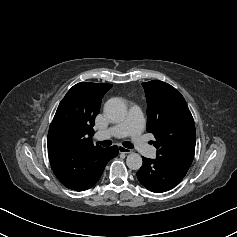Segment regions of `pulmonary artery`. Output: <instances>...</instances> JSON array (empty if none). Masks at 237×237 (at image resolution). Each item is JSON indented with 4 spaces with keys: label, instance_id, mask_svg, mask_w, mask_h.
<instances>
[{
    "label": "pulmonary artery",
    "instance_id": "e3ab8cb5",
    "mask_svg": "<svg viewBox=\"0 0 237 237\" xmlns=\"http://www.w3.org/2000/svg\"><path fill=\"white\" fill-rule=\"evenodd\" d=\"M143 128V114L139 108L133 107L123 122L109 129L97 132L96 137L98 139H107L130 136L138 152L143 156L152 158L156 154V148L143 140L141 136Z\"/></svg>",
    "mask_w": 237,
    "mask_h": 237
}]
</instances>
